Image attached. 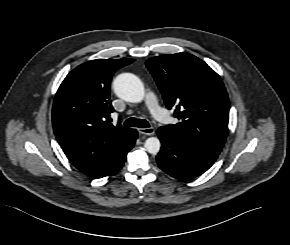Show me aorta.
I'll use <instances>...</instances> for the list:
<instances>
[{
    "instance_id": "aorta-1",
    "label": "aorta",
    "mask_w": 290,
    "mask_h": 245,
    "mask_svg": "<svg viewBox=\"0 0 290 245\" xmlns=\"http://www.w3.org/2000/svg\"><path fill=\"white\" fill-rule=\"evenodd\" d=\"M113 89L118 97L127 102L139 103L145 96L143 83L131 73L118 75L114 79ZM144 147L148 153L157 154L160 151L161 143L157 137H150L146 139Z\"/></svg>"
}]
</instances>
